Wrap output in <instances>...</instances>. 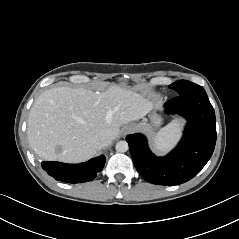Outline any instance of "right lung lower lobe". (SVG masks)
Wrapping results in <instances>:
<instances>
[{
	"instance_id": "1",
	"label": "right lung lower lobe",
	"mask_w": 239,
	"mask_h": 239,
	"mask_svg": "<svg viewBox=\"0 0 239 239\" xmlns=\"http://www.w3.org/2000/svg\"><path fill=\"white\" fill-rule=\"evenodd\" d=\"M106 158L101 155L85 163L66 164L61 162H43L42 168L56 180L68 183H82L93 180L105 164Z\"/></svg>"
}]
</instances>
